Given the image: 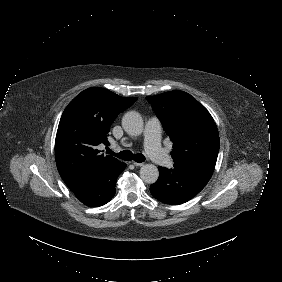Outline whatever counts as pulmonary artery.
<instances>
[{
  "label": "pulmonary artery",
  "mask_w": 282,
  "mask_h": 282,
  "mask_svg": "<svg viewBox=\"0 0 282 282\" xmlns=\"http://www.w3.org/2000/svg\"><path fill=\"white\" fill-rule=\"evenodd\" d=\"M161 125L156 119H151L146 123L144 130V148L149 157L156 160V163L161 168H166L171 163V158L164 153L160 144Z\"/></svg>",
  "instance_id": "1"
}]
</instances>
